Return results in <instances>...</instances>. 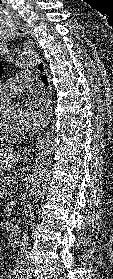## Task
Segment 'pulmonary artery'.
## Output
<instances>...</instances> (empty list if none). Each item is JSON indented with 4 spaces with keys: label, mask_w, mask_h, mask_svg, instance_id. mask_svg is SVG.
Returning a JSON list of instances; mask_svg holds the SVG:
<instances>
[{
    "label": "pulmonary artery",
    "mask_w": 113,
    "mask_h": 279,
    "mask_svg": "<svg viewBox=\"0 0 113 279\" xmlns=\"http://www.w3.org/2000/svg\"><path fill=\"white\" fill-rule=\"evenodd\" d=\"M34 77L29 73H17L13 75L7 82L0 85V93L10 98L24 89H31Z\"/></svg>",
    "instance_id": "pulmonary-artery-1"
}]
</instances>
